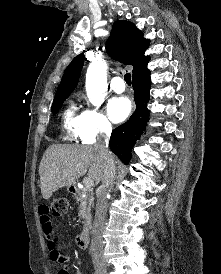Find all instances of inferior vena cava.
<instances>
[{"label": "inferior vena cava", "mask_w": 221, "mask_h": 274, "mask_svg": "<svg viewBox=\"0 0 221 274\" xmlns=\"http://www.w3.org/2000/svg\"><path fill=\"white\" fill-rule=\"evenodd\" d=\"M103 131L105 135L96 145L105 161V171L102 178V185L99 187L97 194L96 215L92 230L91 253L94 260L101 258L103 254L102 230L104 228L107 211V194L113 189V182L116 175L114 158L108 150L112 128L110 125H106Z\"/></svg>", "instance_id": "inferior-vena-cava-1"}]
</instances>
